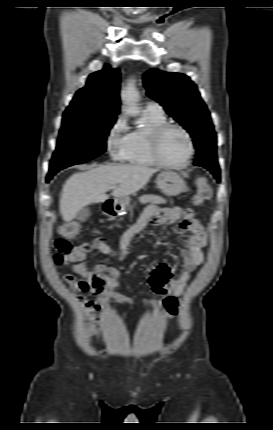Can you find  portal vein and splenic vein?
<instances>
[{
  "label": "portal vein and splenic vein",
  "mask_w": 273,
  "mask_h": 430,
  "mask_svg": "<svg viewBox=\"0 0 273 430\" xmlns=\"http://www.w3.org/2000/svg\"><path fill=\"white\" fill-rule=\"evenodd\" d=\"M114 188H115V186H111V187H110V189H114Z\"/></svg>",
  "instance_id": "obj_1"
}]
</instances>
